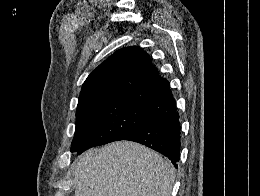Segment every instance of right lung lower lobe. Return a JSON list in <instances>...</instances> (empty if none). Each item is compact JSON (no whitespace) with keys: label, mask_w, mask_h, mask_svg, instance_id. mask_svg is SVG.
Returning a JSON list of instances; mask_svg holds the SVG:
<instances>
[{"label":"right lung lower lobe","mask_w":260,"mask_h":196,"mask_svg":"<svg viewBox=\"0 0 260 196\" xmlns=\"http://www.w3.org/2000/svg\"><path fill=\"white\" fill-rule=\"evenodd\" d=\"M142 107L154 117L119 140L134 141L152 148L168 157L177 168L181 149V126L171 91ZM86 149L88 148H80L73 152L81 154Z\"/></svg>","instance_id":"98d812e1"}]
</instances>
